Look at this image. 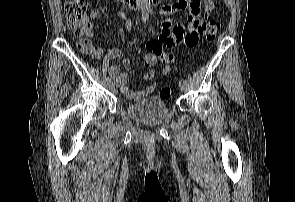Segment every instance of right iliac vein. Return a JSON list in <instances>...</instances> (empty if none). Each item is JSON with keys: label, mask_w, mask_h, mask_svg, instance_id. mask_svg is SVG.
<instances>
[{"label": "right iliac vein", "mask_w": 295, "mask_h": 202, "mask_svg": "<svg viewBox=\"0 0 295 202\" xmlns=\"http://www.w3.org/2000/svg\"><path fill=\"white\" fill-rule=\"evenodd\" d=\"M107 85H108L109 88H114L115 87V83L113 81H110V82L108 81Z\"/></svg>", "instance_id": "right-iliac-vein-1"}]
</instances>
